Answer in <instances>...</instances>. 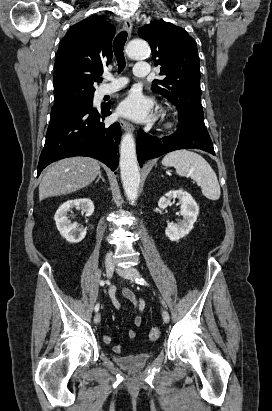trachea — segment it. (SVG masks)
Segmentation results:
<instances>
[{
    "label": "trachea",
    "instance_id": "trachea-1",
    "mask_svg": "<svg viewBox=\"0 0 272 411\" xmlns=\"http://www.w3.org/2000/svg\"><path fill=\"white\" fill-rule=\"evenodd\" d=\"M126 40H127V32L121 31L115 37L114 42H113V49H114V54L117 59L119 73L125 68V65H126L124 52H123ZM99 82H102V78L99 79Z\"/></svg>",
    "mask_w": 272,
    "mask_h": 411
}]
</instances>
